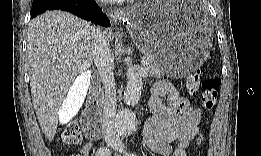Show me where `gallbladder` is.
Masks as SVG:
<instances>
[{
  "mask_svg": "<svg viewBox=\"0 0 261 156\" xmlns=\"http://www.w3.org/2000/svg\"><path fill=\"white\" fill-rule=\"evenodd\" d=\"M90 72L83 73L77 76V79L74 80V84L71 85L69 92H67L66 100L62 102V105L58 110L61 125L70 122L76 113L82 108V104L85 100L87 95L86 92L90 89V82H91V74Z\"/></svg>",
  "mask_w": 261,
  "mask_h": 156,
  "instance_id": "gallbladder-1",
  "label": "gallbladder"
}]
</instances>
